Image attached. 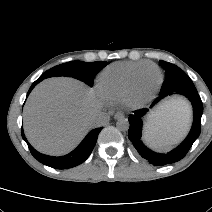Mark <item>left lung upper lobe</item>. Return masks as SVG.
<instances>
[{
    "label": "left lung upper lobe",
    "instance_id": "obj_1",
    "mask_svg": "<svg viewBox=\"0 0 212 212\" xmlns=\"http://www.w3.org/2000/svg\"><path fill=\"white\" fill-rule=\"evenodd\" d=\"M160 64L166 73V79L163 82L160 94L182 90L197 91L192 80L179 67L162 60Z\"/></svg>",
    "mask_w": 212,
    "mask_h": 212
}]
</instances>
